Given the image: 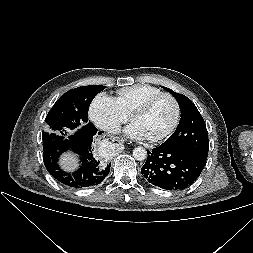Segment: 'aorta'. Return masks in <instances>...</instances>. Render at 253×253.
<instances>
[{
  "instance_id": "762f6f07",
  "label": "aorta",
  "mask_w": 253,
  "mask_h": 253,
  "mask_svg": "<svg viewBox=\"0 0 253 253\" xmlns=\"http://www.w3.org/2000/svg\"><path fill=\"white\" fill-rule=\"evenodd\" d=\"M133 157L138 161H143L147 158V151L143 147H136L133 150Z\"/></svg>"
}]
</instances>
